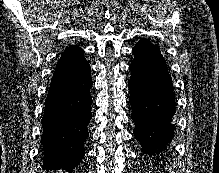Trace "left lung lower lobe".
Wrapping results in <instances>:
<instances>
[{
  "label": "left lung lower lobe",
  "mask_w": 219,
  "mask_h": 173,
  "mask_svg": "<svg viewBox=\"0 0 219 173\" xmlns=\"http://www.w3.org/2000/svg\"><path fill=\"white\" fill-rule=\"evenodd\" d=\"M129 81L131 117L141 151L155 160L167 150L173 137L175 94L166 61L159 47L141 39L133 48Z\"/></svg>",
  "instance_id": "obj_1"
}]
</instances>
